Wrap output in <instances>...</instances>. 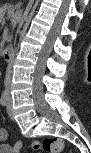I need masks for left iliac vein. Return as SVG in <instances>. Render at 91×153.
Returning <instances> with one entry per match:
<instances>
[{
    "label": "left iliac vein",
    "instance_id": "1",
    "mask_svg": "<svg viewBox=\"0 0 91 153\" xmlns=\"http://www.w3.org/2000/svg\"><path fill=\"white\" fill-rule=\"evenodd\" d=\"M7 113L10 118H13L12 99L10 95H7Z\"/></svg>",
    "mask_w": 91,
    "mask_h": 153
}]
</instances>
